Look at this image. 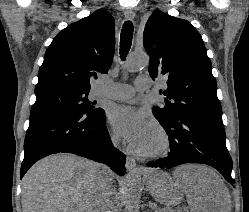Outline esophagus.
I'll return each instance as SVG.
<instances>
[{
    "mask_svg": "<svg viewBox=\"0 0 249 212\" xmlns=\"http://www.w3.org/2000/svg\"><path fill=\"white\" fill-rule=\"evenodd\" d=\"M124 15H125L127 20H133L135 17V13L131 8H127L124 12ZM135 166H136L135 159L133 157H131L130 155H128L126 158V168H127L128 172L133 171Z\"/></svg>",
    "mask_w": 249,
    "mask_h": 212,
    "instance_id": "34e87169",
    "label": "esophagus"
}]
</instances>
